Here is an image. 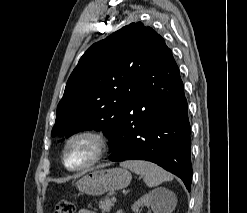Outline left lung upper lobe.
<instances>
[{
  "mask_svg": "<svg viewBox=\"0 0 247 213\" xmlns=\"http://www.w3.org/2000/svg\"><path fill=\"white\" fill-rule=\"evenodd\" d=\"M169 52L163 38L141 22L93 44L67 81L52 136L102 130L111 147L129 99Z\"/></svg>",
  "mask_w": 247,
  "mask_h": 213,
  "instance_id": "1",
  "label": "left lung upper lobe"
}]
</instances>
